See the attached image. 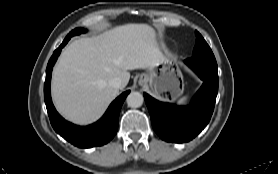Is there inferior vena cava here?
<instances>
[{
	"mask_svg": "<svg viewBox=\"0 0 278 174\" xmlns=\"http://www.w3.org/2000/svg\"><path fill=\"white\" fill-rule=\"evenodd\" d=\"M109 85L115 89H121L122 88V81L120 78L115 77L109 81Z\"/></svg>",
	"mask_w": 278,
	"mask_h": 174,
	"instance_id": "obj_1",
	"label": "inferior vena cava"
}]
</instances>
